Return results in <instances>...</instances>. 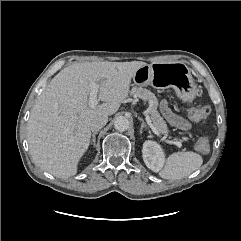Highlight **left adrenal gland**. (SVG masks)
Segmentation results:
<instances>
[{
  "label": "left adrenal gland",
  "instance_id": "1",
  "mask_svg": "<svg viewBox=\"0 0 241 241\" xmlns=\"http://www.w3.org/2000/svg\"><path fill=\"white\" fill-rule=\"evenodd\" d=\"M141 122H142V124H141V128H140V134H142V130L145 128V129H147L148 128V126L146 125V123L144 122V120L142 119V118H138Z\"/></svg>",
  "mask_w": 241,
  "mask_h": 241
}]
</instances>
